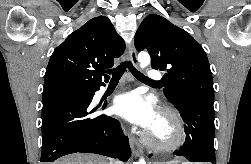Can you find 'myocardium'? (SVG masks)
I'll use <instances>...</instances> for the list:
<instances>
[{
	"label": "myocardium",
	"instance_id": "f54148a6",
	"mask_svg": "<svg viewBox=\"0 0 251 164\" xmlns=\"http://www.w3.org/2000/svg\"><path fill=\"white\" fill-rule=\"evenodd\" d=\"M159 119L163 120L169 127L170 135L166 140H157L151 131L145 138L149 148L155 151L167 152L179 148L185 139V129L180 117L171 109L163 108Z\"/></svg>",
	"mask_w": 251,
	"mask_h": 164
}]
</instances>
